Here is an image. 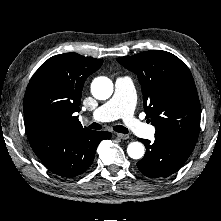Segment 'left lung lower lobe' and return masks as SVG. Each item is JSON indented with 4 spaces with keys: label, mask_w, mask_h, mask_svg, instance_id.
<instances>
[{
    "label": "left lung lower lobe",
    "mask_w": 221,
    "mask_h": 221,
    "mask_svg": "<svg viewBox=\"0 0 221 221\" xmlns=\"http://www.w3.org/2000/svg\"><path fill=\"white\" fill-rule=\"evenodd\" d=\"M146 147L145 156L137 162L138 169L150 178H166L188 159L196 142L173 134H156L151 143L139 139Z\"/></svg>",
    "instance_id": "left-lung-lower-lobe-1"
}]
</instances>
